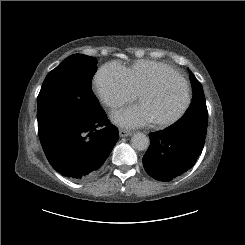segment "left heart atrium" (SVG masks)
<instances>
[{
	"label": "left heart atrium",
	"instance_id": "39dd6f15",
	"mask_svg": "<svg viewBox=\"0 0 245 245\" xmlns=\"http://www.w3.org/2000/svg\"><path fill=\"white\" fill-rule=\"evenodd\" d=\"M111 118L116 125L125 129L145 127L153 123L147 108L140 103L113 113Z\"/></svg>",
	"mask_w": 245,
	"mask_h": 245
}]
</instances>
